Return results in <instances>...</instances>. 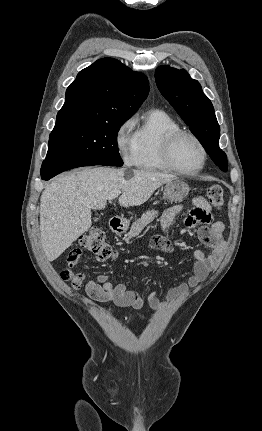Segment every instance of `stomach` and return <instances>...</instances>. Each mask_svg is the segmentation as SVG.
<instances>
[{
    "label": "stomach",
    "mask_w": 262,
    "mask_h": 431,
    "mask_svg": "<svg viewBox=\"0 0 262 431\" xmlns=\"http://www.w3.org/2000/svg\"><path fill=\"white\" fill-rule=\"evenodd\" d=\"M189 193V186L182 180L174 179L167 183L163 190V197L173 203L183 201ZM127 230V225H124L123 231Z\"/></svg>",
    "instance_id": "0dacf381"
}]
</instances>
